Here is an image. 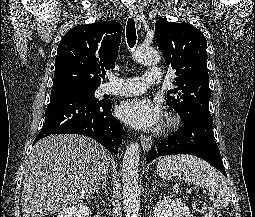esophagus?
I'll list each match as a JSON object with an SVG mask.
<instances>
[{
	"label": "esophagus",
	"mask_w": 255,
	"mask_h": 217,
	"mask_svg": "<svg viewBox=\"0 0 255 217\" xmlns=\"http://www.w3.org/2000/svg\"><path fill=\"white\" fill-rule=\"evenodd\" d=\"M128 16L130 18L135 19L137 27H138V29H140L141 25H140L139 15H138V11H137L136 7H132L128 10ZM152 143H153L152 137L146 136V135L141 136V145H142L143 150H145V151L150 150Z\"/></svg>",
	"instance_id": "34e87169"
}]
</instances>
